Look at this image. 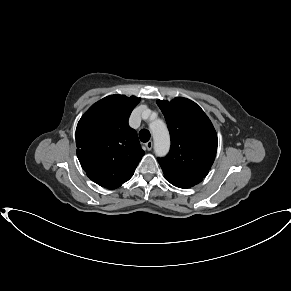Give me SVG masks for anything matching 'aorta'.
<instances>
[{"instance_id": "762f6f07", "label": "aorta", "mask_w": 291, "mask_h": 291, "mask_svg": "<svg viewBox=\"0 0 291 291\" xmlns=\"http://www.w3.org/2000/svg\"><path fill=\"white\" fill-rule=\"evenodd\" d=\"M153 134L154 151L157 156H165L170 148L169 132L162 120H155L150 124Z\"/></svg>"}]
</instances>
